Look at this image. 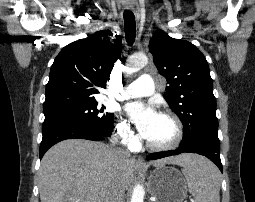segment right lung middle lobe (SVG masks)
Returning a JSON list of instances; mask_svg holds the SVG:
<instances>
[{"instance_id": "1", "label": "right lung middle lobe", "mask_w": 255, "mask_h": 202, "mask_svg": "<svg viewBox=\"0 0 255 202\" xmlns=\"http://www.w3.org/2000/svg\"><path fill=\"white\" fill-rule=\"evenodd\" d=\"M97 102L86 103L44 113V123L54 121H78L99 132H109L113 128L112 113H103V108L97 107Z\"/></svg>"}]
</instances>
